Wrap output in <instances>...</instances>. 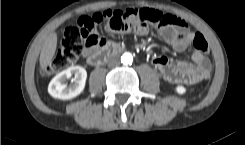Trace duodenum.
Wrapping results in <instances>:
<instances>
[{
	"instance_id": "obj_1",
	"label": "duodenum",
	"mask_w": 245,
	"mask_h": 145,
	"mask_svg": "<svg viewBox=\"0 0 245 145\" xmlns=\"http://www.w3.org/2000/svg\"><path fill=\"white\" fill-rule=\"evenodd\" d=\"M121 47L112 43H106L93 49L87 56V62L91 66H99L105 60L113 56L114 54L120 52Z\"/></svg>"
}]
</instances>
